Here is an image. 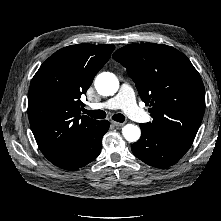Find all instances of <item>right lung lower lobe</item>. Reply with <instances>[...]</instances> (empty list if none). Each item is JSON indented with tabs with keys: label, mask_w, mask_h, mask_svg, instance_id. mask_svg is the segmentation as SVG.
<instances>
[{
	"label": "right lung lower lobe",
	"mask_w": 221,
	"mask_h": 221,
	"mask_svg": "<svg viewBox=\"0 0 221 221\" xmlns=\"http://www.w3.org/2000/svg\"><path fill=\"white\" fill-rule=\"evenodd\" d=\"M107 120L97 121L87 132L83 140L81 156L50 160L57 167L66 170L79 169L93 161L100 153L103 135L109 129Z\"/></svg>",
	"instance_id": "1"
}]
</instances>
